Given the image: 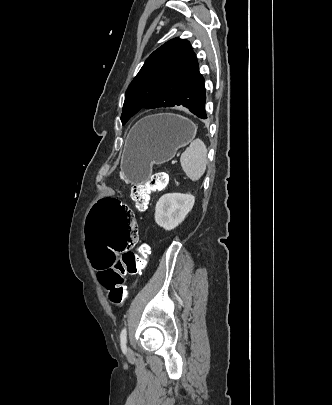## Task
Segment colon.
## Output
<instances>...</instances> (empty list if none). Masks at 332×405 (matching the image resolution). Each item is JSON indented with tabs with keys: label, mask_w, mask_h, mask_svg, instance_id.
Wrapping results in <instances>:
<instances>
[{
	"label": "colon",
	"mask_w": 332,
	"mask_h": 405,
	"mask_svg": "<svg viewBox=\"0 0 332 405\" xmlns=\"http://www.w3.org/2000/svg\"><path fill=\"white\" fill-rule=\"evenodd\" d=\"M168 183L167 174L155 173L132 187L131 199L138 209H145L150 193L166 188ZM92 208L87 222L89 268L99 273L108 300L121 305L127 296L126 276L145 269L149 247L142 244L130 250L138 243L140 227H136L135 214L120 197H102L100 202H93Z\"/></svg>",
	"instance_id": "5ec220e1"
}]
</instances>
